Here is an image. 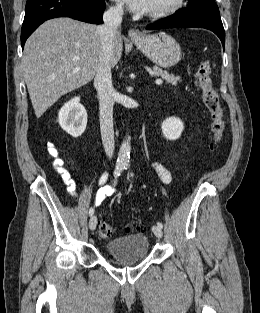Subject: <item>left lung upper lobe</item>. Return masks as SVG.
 Here are the masks:
<instances>
[{"label":"left lung upper lobe","instance_id":"left-lung-upper-lobe-1","mask_svg":"<svg viewBox=\"0 0 260 313\" xmlns=\"http://www.w3.org/2000/svg\"><path fill=\"white\" fill-rule=\"evenodd\" d=\"M189 5L186 9L176 12L174 15H183L189 17L209 18L220 21L218 6L214 0H188Z\"/></svg>","mask_w":260,"mask_h":313}]
</instances>
